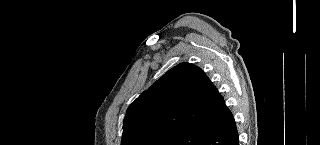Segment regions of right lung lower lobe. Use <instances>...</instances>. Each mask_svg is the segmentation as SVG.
<instances>
[{"mask_svg":"<svg viewBox=\"0 0 320 145\" xmlns=\"http://www.w3.org/2000/svg\"><path fill=\"white\" fill-rule=\"evenodd\" d=\"M167 145H239L236 124L224 100L214 116L182 129Z\"/></svg>","mask_w":320,"mask_h":145,"instance_id":"obj_1","label":"right lung lower lobe"}]
</instances>
